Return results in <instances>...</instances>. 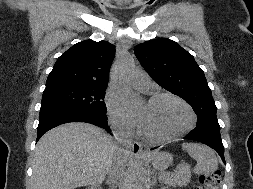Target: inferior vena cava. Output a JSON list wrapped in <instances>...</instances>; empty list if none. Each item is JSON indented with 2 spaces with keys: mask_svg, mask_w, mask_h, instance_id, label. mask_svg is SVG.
I'll return each instance as SVG.
<instances>
[{
  "mask_svg": "<svg viewBox=\"0 0 253 189\" xmlns=\"http://www.w3.org/2000/svg\"><path fill=\"white\" fill-rule=\"evenodd\" d=\"M114 128V136L120 146V149H116L114 151V162L112 163L109 171H108V181L110 184L115 185L118 184L124 175V170L126 164L124 163L127 153H129V148L131 146L130 136L118 129L116 126Z\"/></svg>",
  "mask_w": 253,
  "mask_h": 189,
  "instance_id": "1",
  "label": "inferior vena cava"
}]
</instances>
